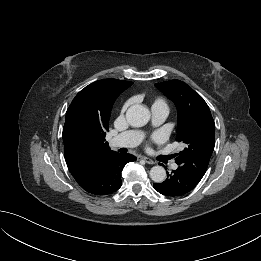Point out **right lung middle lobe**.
<instances>
[{
	"mask_svg": "<svg viewBox=\"0 0 261 261\" xmlns=\"http://www.w3.org/2000/svg\"><path fill=\"white\" fill-rule=\"evenodd\" d=\"M105 135H106V134L103 133V134L101 135V138H102V139H105Z\"/></svg>",
	"mask_w": 261,
	"mask_h": 261,
	"instance_id": "1",
	"label": "right lung middle lobe"
}]
</instances>
